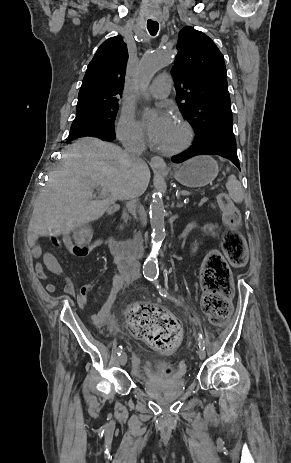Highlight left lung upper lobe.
<instances>
[{
	"instance_id": "1",
	"label": "left lung upper lobe",
	"mask_w": 291,
	"mask_h": 463,
	"mask_svg": "<svg viewBox=\"0 0 291 463\" xmlns=\"http://www.w3.org/2000/svg\"><path fill=\"white\" fill-rule=\"evenodd\" d=\"M171 74L176 100L196 137L236 145L224 57L201 31L184 27Z\"/></svg>"
}]
</instances>
